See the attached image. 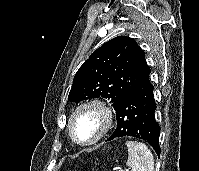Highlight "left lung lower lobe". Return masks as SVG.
I'll use <instances>...</instances> for the list:
<instances>
[{"label": "left lung lower lobe", "instance_id": "0a47b994", "mask_svg": "<svg viewBox=\"0 0 199 171\" xmlns=\"http://www.w3.org/2000/svg\"><path fill=\"white\" fill-rule=\"evenodd\" d=\"M151 70L131 89L116 108L117 128L108 138L133 136L147 141L160 156V127L155 120L156 103L149 81Z\"/></svg>", "mask_w": 199, "mask_h": 171}]
</instances>
